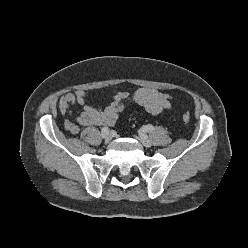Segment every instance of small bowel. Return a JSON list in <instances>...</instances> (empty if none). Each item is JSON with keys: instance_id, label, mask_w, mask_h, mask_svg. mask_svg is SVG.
<instances>
[{"instance_id": "obj_1", "label": "small bowel", "mask_w": 248, "mask_h": 248, "mask_svg": "<svg viewBox=\"0 0 248 248\" xmlns=\"http://www.w3.org/2000/svg\"><path fill=\"white\" fill-rule=\"evenodd\" d=\"M87 97L86 91L76 90L62 95L58 101L59 112L62 115L72 114L73 106L82 107L74 120L68 119L64 123L65 129L73 135L80 132L81 126L114 125L127 103L137 104L152 115H162L175 106L171 94L151 88H139L134 92H115L112 94L111 102L103 108L87 104Z\"/></svg>"}]
</instances>
